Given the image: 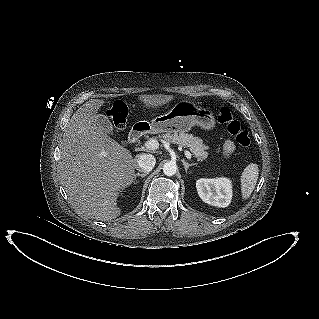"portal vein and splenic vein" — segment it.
Listing matches in <instances>:
<instances>
[{
    "label": "portal vein and splenic vein",
    "instance_id": "portal-vein-and-splenic-vein-1",
    "mask_svg": "<svg viewBox=\"0 0 319 319\" xmlns=\"http://www.w3.org/2000/svg\"><path fill=\"white\" fill-rule=\"evenodd\" d=\"M145 147L148 150H156L159 147V143L155 139H150V140L146 141ZM185 156H186L187 159H189V160L191 159V153L189 151H187V150L185 151Z\"/></svg>",
    "mask_w": 319,
    "mask_h": 319
}]
</instances>
